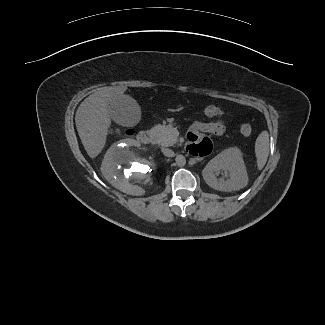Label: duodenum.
Segmentation results:
<instances>
[{
  "instance_id": "obj_1",
  "label": "duodenum",
  "mask_w": 325,
  "mask_h": 325,
  "mask_svg": "<svg viewBox=\"0 0 325 325\" xmlns=\"http://www.w3.org/2000/svg\"><path fill=\"white\" fill-rule=\"evenodd\" d=\"M153 140V135L150 131H141L137 136V141L141 144H150Z\"/></svg>"
}]
</instances>
